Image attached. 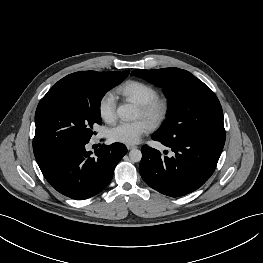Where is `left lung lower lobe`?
Wrapping results in <instances>:
<instances>
[{
    "instance_id": "obj_1",
    "label": "left lung lower lobe",
    "mask_w": 263,
    "mask_h": 263,
    "mask_svg": "<svg viewBox=\"0 0 263 263\" xmlns=\"http://www.w3.org/2000/svg\"><path fill=\"white\" fill-rule=\"evenodd\" d=\"M152 139L170 147L174 156H162L158 150L143 146L141 177L160 193L178 197L200 188L213 174L224 147L225 133L170 139L154 134Z\"/></svg>"
}]
</instances>
